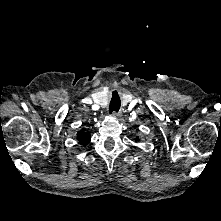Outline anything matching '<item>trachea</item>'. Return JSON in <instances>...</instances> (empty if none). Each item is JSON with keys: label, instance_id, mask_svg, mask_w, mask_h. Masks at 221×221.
Here are the masks:
<instances>
[{"label": "trachea", "instance_id": "trachea-1", "mask_svg": "<svg viewBox=\"0 0 221 221\" xmlns=\"http://www.w3.org/2000/svg\"><path fill=\"white\" fill-rule=\"evenodd\" d=\"M121 106L120 97L117 91L112 92V98L109 105V113L111 112H118Z\"/></svg>", "mask_w": 221, "mask_h": 221}]
</instances>
